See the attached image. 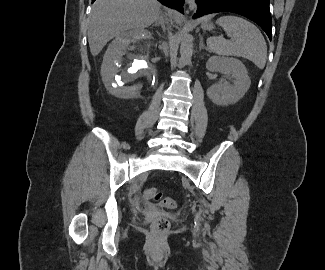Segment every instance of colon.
<instances>
[{
  "mask_svg": "<svg viewBox=\"0 0 325 270\" xmlns=\"http://www.w3.org/2000/svg\"><path fill=\"white\" fill-rule=\"evenodd\" d=\"M144 197L146 199H153L159 201V203L167 209H174L176 207V202L174 199L170 197H162L158 189L154 187L145 189ZM169 226L170 223L168 219L164 217L157 218L152 223V229L157 233L166 232L169 229Z\"/></svg>",
  "mask_w": 325,
  "mask_h": 270,
  "instance_id": "5ec220e1",
  "label": "colon"
}]
</instances>
